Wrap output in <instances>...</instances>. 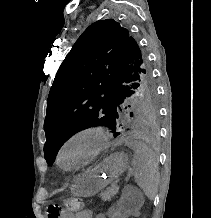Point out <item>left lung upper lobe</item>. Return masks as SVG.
<instances>
[{
	"label": "left lung upper lobe",
	"instance_id": "obj_1",
	"mask_svg": "<svg viewBox=\"0 0 211 218\" xmlns=\"http://www.w3.org/2000/svg\"><path fill=\"white\" fill-rule=\"evenodd\" d=\"M128 116L148 127L157 122L151 68L126 28L113 19L99 20L78 38L50 89L44 122L47 163L53 164L59 148L78 131L105 126L117 136Z\"/></svg>",
	"mask_w": 211,
	"mask_h": 218
}]
</instances>
